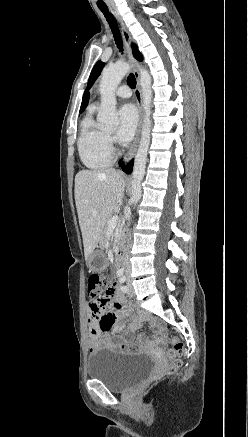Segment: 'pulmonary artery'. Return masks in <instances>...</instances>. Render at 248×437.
Returning a JSON list of instances; mask_svg holds the SVG:
<instances>
[{
	"mask_svg": "<svg viewBox=\"0 0 248 437\" xmlns=\"http://www.w3.org/2000/svg\"><path fill=\"white\" fill-rule=\"evenodd\" d=\"M116 96L120 98H129L132 94L131 89L127 85H121L115 92Z\"/></svg>",
	"mask_w": 248,
	"mask_h": 437,
	"instance_id": "obj_1",
	"label": "pulmonary artery"
}]
</instances>
